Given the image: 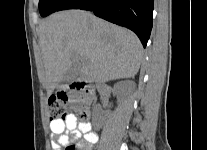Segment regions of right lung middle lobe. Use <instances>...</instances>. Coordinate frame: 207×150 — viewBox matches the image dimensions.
<instances>
[{"instance_id": "dd1d6c3e", "label": "right lung middle lobe", "mask_w": 207, "mask_h": 150, "mask_svg": "<svg viewBox=\"0 0 207 150\" xmlns=\"http://www.w3.org/2000/svg\"><path fill=\"white\" fill-rule=\"evenodd\" d=\"M66 0H39V11L42 17L57 11Z\"/></svg>"}]
</instances>
